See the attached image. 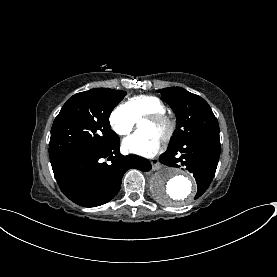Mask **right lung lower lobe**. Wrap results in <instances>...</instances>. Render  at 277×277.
Wrapping results in <instances>:
<instances>
[{
	"label": "right lung lower lobe",
	"mask_w": 277,
	"mask_h": 277,
	"mask_svg": "<svg viewBox=\"0 0 277 277\" xmlns=\"http://www.w3.org/2000/svg\"><path fill=\"white\" fill-rule=\"evenodd\" d=\"M119 147L120 140L102 148L78 149L51 158L61 191L78 205L95 207L116 196L128 169H151L148 160L133 155L123 156Z\"/></svg>",
	"instance_id": "98d812e1"
}]
</instances>
